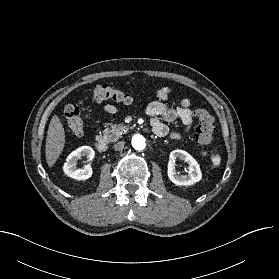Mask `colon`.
<instances>
[{"mask_svg":"<svg viewBox=\"0 0 279 279\" xmlns=\"http://www.w3.org/2000/svg\"><path fill=\"white\" fill-rule=\"evenodd\" d=\"M92 99L95 102L112 100L124 104H130L133 101L130 94L106 84L97 85L93 88ZM193 115L198 119L196 139L204 148V154H206L214 138L213 119L207 111L201 108H196ZM64 116L69 129L74 134L81 135L84 122L80 108L76 104H69L64 109Z\"/></svg>","mask_w":279,"mask_h":279,"instance_id":"5ec220e1","label":"colon"}]
</instances>
